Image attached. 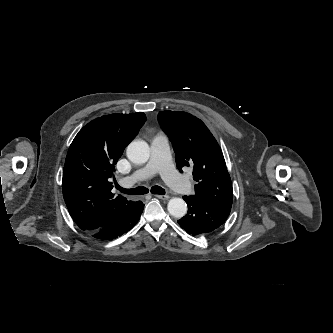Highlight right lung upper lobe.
<instances>
[{
  "label": "right lung upper lobe",
  "instance_id": "cb5924a9",
  "mask_svg": "<svg viewBox=\"0 0 333 333\" xmlns=\"http://www.w3.org/2000/svg\"><path fill=\"white\" fill-rule=\"evenodd\" d=\"M145 121L143 112L110 114L91 121L74 138L63 168L62 189L80 229L95 230L133 207V201L111 192V177Z\"/></svg>",
  "mask_w": 333,
  "mask_h": 333
}]
</instances>
